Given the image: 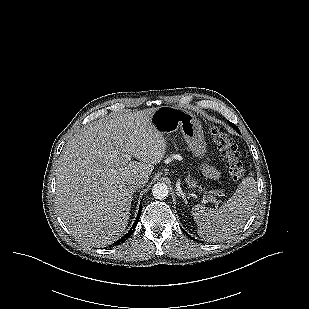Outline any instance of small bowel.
<instances>
[{"label": "small bowel", "instance_id": "obj_1", "mask_svg": "<svg viewBox=\"0 0 309 309\" xmlns=\"http://www.w3.org/2000/svg\"><path fill=\"white\" fill-rule=\"evenodd\" d=\"M204 171L206 173V175L212 179H216L218 177V172L216 169H214L213 167H210V166H206L204 168Z\"/></svg>", "mask_w": 309, "mask_h": 309}]
</instances>
